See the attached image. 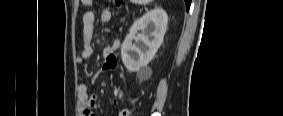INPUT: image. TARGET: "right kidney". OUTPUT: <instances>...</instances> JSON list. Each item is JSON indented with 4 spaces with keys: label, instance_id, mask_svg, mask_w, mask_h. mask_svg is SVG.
Listing matches in <instances>:
<instances>
[{
    "label": "right kidney",
    "instance_id": "right-kidney-1",
    "mask_svg": "<svg viewBox=\"0 0 283 116\" xmlns=\"http://www.w3.org/2000/svg\"><path fill=\"white\" fill-rule=\"evenodd\" d=\"M167 22L168 16L161 8L147 12L134 22L121 46L122 61L128 71L137 72L153 59L163 42Z\"/></svg>",
    "mask_w": 283,
    "mask_h": 116
}]
</instances>
